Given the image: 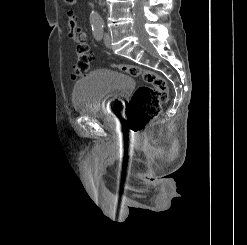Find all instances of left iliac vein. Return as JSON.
Here are the masks:
<instances>
[{"label":"left iliac vein","instance_id":"4c4485c4","mask_svg":"<svg viewBox=\"0 0 247 245\" xmlns=\"http://www.w3.org/2000/svg\"><path fill=\"white\" fill-rule=\"evenodd\" d=\"M104 44L107 48L111 47V36H110L109 32H106L104 34Z\"/></svg>","mask_w":247,"mask_h":245}]
</instances>
